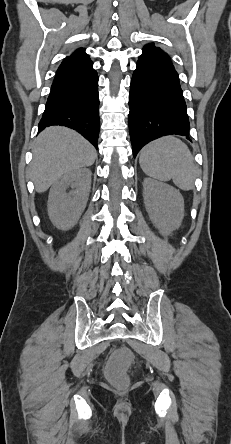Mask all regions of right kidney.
Masks as SVG:
<instances>
[{"instance_id":"ca27d5eb","label":"right kidney","mask_w":231,"mask_h":444,"mask_svg":"<svg viewBox=\"0 0 231 444\" xmlns=\"http://www.w3.org/2000/svg\"><path fill=\"white\" fill-rule=\"evenodd\" d=\"M72 190L67 193L66 190ZM91 188V171L79 169L63 175L50 189L48 214L51 222L59 229L69 230L84 211Z\"/></svg>"}]
</instances>
